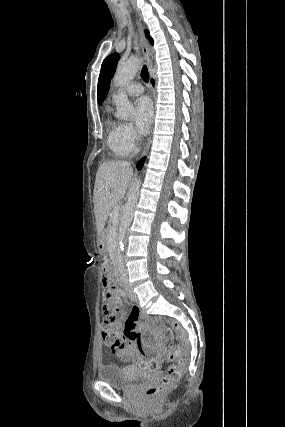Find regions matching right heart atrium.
Here are the masks:
<instances>
[{"label":"right heart atrium","mask_w":285,"mask_h":427,"mask_svg":"<svg viewBox=\"0 0 285 427\" xmlns=\"http://www.w3.org/2000/svg\"><path fill=\"white\" fill-rule=\"evenodd\" d=\"M121 136H122V141L124 145L130 151H133L136 148V143L139 140V135L136 132L135 128L129 123L122 124Z\"/></svg>","instance_id":"obj_1"}]
</instances>
